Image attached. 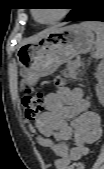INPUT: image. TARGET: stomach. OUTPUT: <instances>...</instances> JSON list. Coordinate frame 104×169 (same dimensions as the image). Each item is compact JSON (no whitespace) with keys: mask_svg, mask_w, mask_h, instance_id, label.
I'll return each instance as SVG.
<instances>
[{"mask_svg":"<svg viewBox=\"0 0 104 169\" xmlns=\"http://www.w3.org/2000/svg\"><path fill=\"white\" fill-rule=\"evenodd\" d=\"M94 43L93 31L83 24L46 31L17 52L23 83L35 84L39 78L54 73L61 64L90 51Z\"/></svg>","mask_w":104,"mask_h":169,"instance_id":"1","label":"stomach"}]
</instances>
